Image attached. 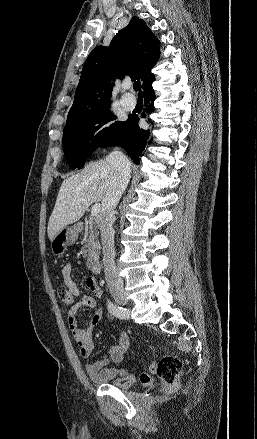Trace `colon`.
<instances>
[{"mask_svg":"<svg viewBox=\"0 0 257 439\" xmlns=\"http://www.w3.org/2000/svg\"><path fill=\"white\" fill-rule=\"evenodd\" d=\"M58 296L65 306H72L76 295L66 286L58 288ZM183 369V362L176 356H167L158 362L150 363V370L156 373L162 381L165 392H172L178 387L179 376ZM140 382L148 384L150 376L146 373L140 375ZM136 382L134 375L120 370L116 378V385L121 388H128Z\"/></svg>","mask_w":257,"mask_h":439,"instance_id":"colon-1","label":"colon"}]
</instances>
